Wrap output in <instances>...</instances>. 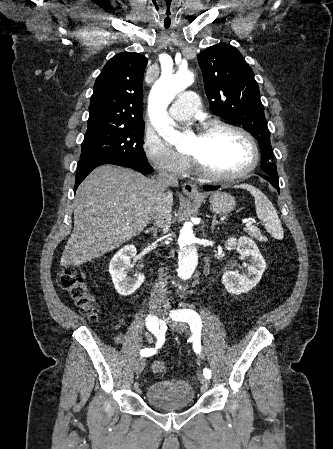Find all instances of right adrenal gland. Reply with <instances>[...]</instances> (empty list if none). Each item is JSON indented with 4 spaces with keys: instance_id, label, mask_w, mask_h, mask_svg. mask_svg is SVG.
Instances as JSON below:
<instances>
[{
    "instance_id": "2a0ac1e0",
    "label": "right adrenal gland",
    "mask_w": 333,
    "mask_h": 449,
    "mask_svg": "<svg viewBox=\"0 0 333 449\" xmlns=\"http://www.w3.org/2000/svg\"><path fill=\"white\" fill-rule=\"evenodd\" d=\"M146 232H152L153 234H156V233H157V228H155V227L153 226V227H151V228H148V229L146 230Z\"/></svg>"
}]
</instances>
